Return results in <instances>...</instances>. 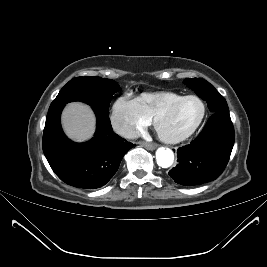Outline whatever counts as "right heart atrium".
<instances>
[{
    "mask_svg": "<svg viewBox=\"0 0 267 267\" xmlns=\"http://www.w3.org/2000/svg\"><path fill=\"white\" fill-rule=\"evenodd\" d=\"M111 123L118 134L131 138L148 126L150 120L141 110L138 99L125 93L116 98L112 105Z\"/></svg>",
    "mask_w": 267,
    "mask_h": 267,
    "instance_id": "1",
    "label": "right heart atrium"
}]
</instances>
